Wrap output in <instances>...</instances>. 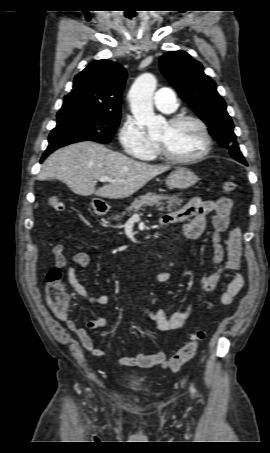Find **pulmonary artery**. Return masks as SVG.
I'll use <instances>...</instances> for the list:
<instances>
[{"label":"pulmonary artery","instance_id":"1","mask_svg":"<svg viewBox=\"0 0 270 453\" xmlns=\"http://www.w3.org/2000/svg\"><path fill=\"white\" fill-rule=\"evenodd\" d=\"M153 103L157 109L167 114L174 112L178 106L175 93L169 88L159 89L154 95Z\"/></svg>","mask_w":270,"mask_h":453}]
</instances>
